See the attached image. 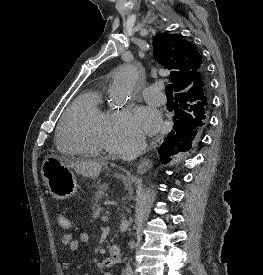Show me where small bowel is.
Here are the masks:
<instances>
[{"label":"small bowel","instance_id":"small-bowel-1","mask_svg":"<svg viewBox=\"0 0 263 275\" xmlns=\"http://www.w3.org/2000/svg\"><path fill=\"white\" fill-rule=\"evenodd\" d=\"M90 241V237L87 233L82 232L79 234L78 238L74 239L72 235L66 234L62 237V244L63 247L68 249L70 252H76L79 249V246L81 244H87ZM63 269L68 270L69 269V264L64 263L63 264ZM102 275H112L111 272L106 271L104 269L101 270ZM87 275V274H85Z\"/></svg>","mask_w":263,"mask_h":275}]
</instances>
